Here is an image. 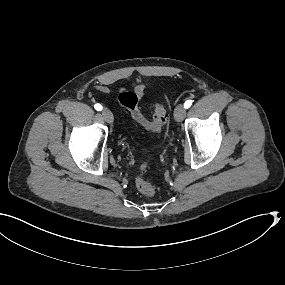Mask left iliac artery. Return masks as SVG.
Masks as SVG:
<instances>
[{
  "label": "left iliac artery",
  "mask_w": 285,
  "mask_h": 285,
  "mask_svg": "<svg viewBox=\"0 0 285 285\" xmlns=\"http://www.w3.org/2000/svg\"><path fill=\"white\" fill-rule=\"evenodd\" d=\"M191 105H192V100H187V101L184 103V107H185L186 109H188Z\"/></svg>",
  "instance_id": "44dca946"
}]
</instances>
